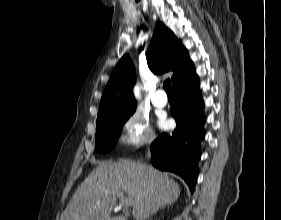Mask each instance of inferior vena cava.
Masks as SVG:
<instances>
[{"label": "inferior vena cava", "mask_w": 281, "mask_h": 220, "mask_svg": "<svg viewBox=\"0 0 281 220\" xmlns=\"http://www.w3.org/2000/svg\"><path fill=\"white\" fill-rule=\"evenodd\" d=\"M147 157H148V158L150 157V151H148V153H147Z\"/></svg>", "instance_id": "1"}]
</instances>
